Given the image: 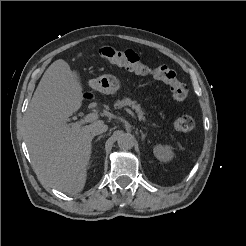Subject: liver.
Masks as SVG:
<instances>
[{
    "label": "liver",
    "instance_id": "liver-1",
    "mask_svg": "<svg viewBox=\"0 0 246 246\" xmlns=\"http://www.w3.org/2000/svg\"><path fill=\"white\" fill-rule=\"evenodd\" d=\"M82 100L79 74L59 59L45 71L25 117L24 137L36 174L51 187L72 195L85 186L92 149V124L68 123Z\"/></svg>",
    "mask_w": 246,
    "mask_h": 246
}]
</instances>
